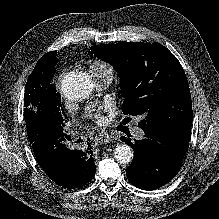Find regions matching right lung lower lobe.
Returning <instances> with one entry per match:
<instances>
[{
  "label": "right lung lower lobe",
  "instance_id": "right-lung-lower-lobe-1",
  "mask_svg": "<svg viewBox=\"0 0 219 219\" xmlns=\"http://www.w3.org/2000/svg\"><path fill=\"white\" fill-rule=\"evenodd\" d=\"M27 135L38 164L56 184L75 189L93 179L96 170L89 142L84 150H70V136L45 119L27 125Z\"/></svg>",
  "mask_w": 219,
  "mask_h": 219
}]
</instances>
